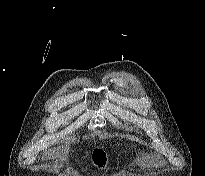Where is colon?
I'll list each match as a JSON object with an SVG mask.
<instances>
[{
  "instance_id": "5ec220e1",
  "label": "colon",
  "mask_w": 205,
  "mask_h": 176,
  "mask_svg": "<svg viewBox=\"0 0 205 176\" xmlns=\"http://www.w3.org/2000/svg\"><path fill=\"white\" fill-rule=\"evenodd\" d=\"M91 158L95 165L102 167L106 163V155L101 150L94 149L91 151Z\"/></svg>"
}]
</instances>
